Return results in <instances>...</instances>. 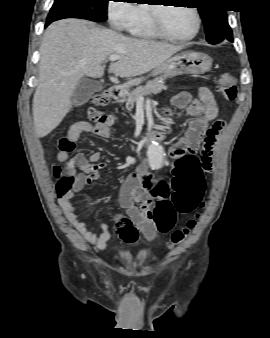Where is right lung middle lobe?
Masks as SVG:
<instances>
[{"label":"right lung middle lobe","mask_w":270,"mask_h":338,"mask_svg":"<svg viewBox=\"0 0 270 338\" xmlns=\"http://www.w3.org/2000/svg\"><path fill=\"white\" fill-rule=\"evenodd\" d=\"M109 0H55L47 17V22L64 18H81L91 21L107 19Z\"/></svg>","instance_id":"1"}]
</instances>
